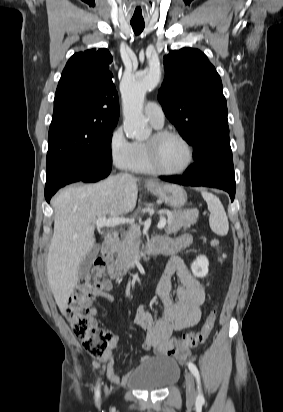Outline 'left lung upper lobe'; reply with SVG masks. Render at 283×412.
<instances>
[{
    "mask_svg": "<svg viewBox=\"0 0 283 412\" xmlns=\"http://www.w3.org/2000/svg\"><path fill=\"white\" fill-rule=\"evenodd\" d=\"M164 67L158 99L167 118L194 148V159L202 152L220 153L233 166L226 99L214 66L200 50L183 48L165 56Z\"/></svg>",
    "mask_w": 283,
    "mask_h": 412,
    "instance_id": "1",
    "label": "left lung upper lobe"
}]
</instances>
